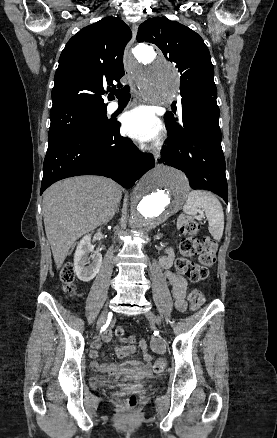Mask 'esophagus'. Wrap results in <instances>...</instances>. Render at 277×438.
Masks as SVG:
<instances>
[{
  "label": "esophagus",
  "mask_w": 277,
  "mask_h": 438,
  "mask_svg": "<svg viewBox=\"0 0 277 438\" xmlns=\"http://www.w3.org/2000/svg\"><path fill=\"white\" fill-rule=\"evenodd\" d=\"M136 35H137V26L135 24H133L132 26V39L130 40L129 44L126 46L125 48V57H131L132 56V50H131V46L132 44L135 42L136 40ZM138 96V99L140 101L144 100V96L141 92H139L137 89L135 90Z\"/></svg>",
  "instance_id": "esophagus-1"
}]
</instances>
